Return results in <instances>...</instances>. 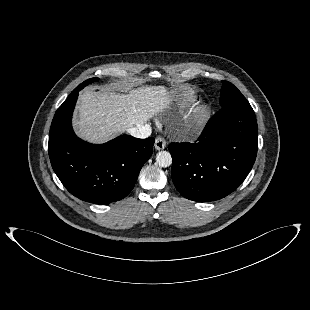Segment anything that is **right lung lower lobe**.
<instances>
[{
  "label": "right lung lower lobe",
  "instance_id": "98d812e1",
  "mask_svg": "<svg viewBox=\"0 0 310 310\" xmlns=\"http://www.w3.org/2000/svg\"><path fill=\"white\" fill-rule=\"evenodd\" d=\"M80 89H74L53 118L48 152L54 172L77 198L109 204L127 196L153 152L154 138L121 135L95 145L78 138L71 125Z\"/></svg>",
  "mask_w": 310,
  "mask_h": 310
}]
</instances>
